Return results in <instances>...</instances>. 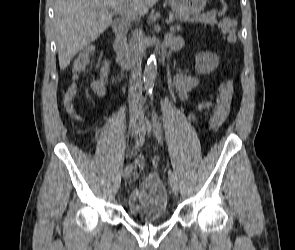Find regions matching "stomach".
Returning a JSON list of instances; mask_svg holds the SVG:
<instances>
[{
    "mask_svg": "<svg viewBox=\"0 0 295 250\" xmlns=\"http://www.w3.org/2000/svg\"><path fill=\"white\" fill-rule=\"evenodd\" d=\"M169 3L177 14L187 17L200 13L207 0H169Z\"/></svg>",
    "mask_w": 295,
    "mask_h": 250,
    "instance_id": "obj_1",
    "label": "stomach"
}]
</instances>
